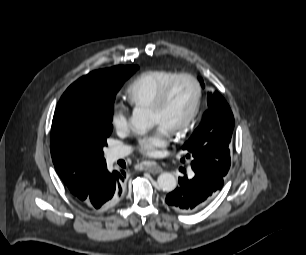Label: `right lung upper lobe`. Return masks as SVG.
<instances>
[{
    "label": "right lung upper lobe",
    "instance_id": "1",
    "mask_svg": "<svg viewBox=\"0 0 306 255\" xmlns=\"http://www.w3.org/2000/svg\"><path fill=\"white\" fill-rule=\"evenodd\" d=\"M121 66H115L107 69L96 70L81 77L74 82L62 95L66 97L68 95H82L89 96L94 95L98 91L107 88L109 85L118 82L119 80V68ZM58 108L55 111L53 122L57 119ZM69 187L70 182L64 181Z\"/></svg>",
    "mask_w": 306,
    "mask_h": 255
}]
</instances>
